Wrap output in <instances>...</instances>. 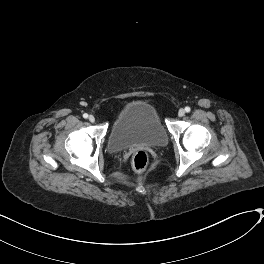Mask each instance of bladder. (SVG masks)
<instances>
[{
	"label": "bladder",
	"mask_w": 264,
	"mask_h": 264,
	"mask_svg": "<svg viewBox=\"0 0 264 264\" xmlns=\"http://www.w3.org/2000/svg\"><path fill=\"white\" fill-rule=\"evenodd\" d=\"M167 132L156 110L146 102L126 105L116 116L108 136V149L113 153L133 146L163 147Z\"/></svg>",
	"instance_id": "1"
}]
</instances>
